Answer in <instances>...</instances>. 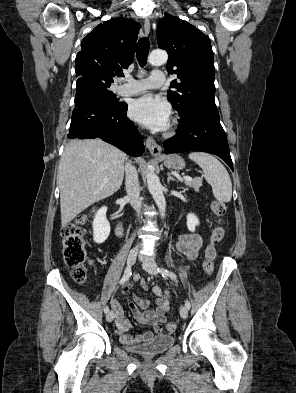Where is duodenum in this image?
<instances>
[{
	"label": "duodenum",
	"instance_id": "obj_1",
	"mask_svg": "<svg viewBox=\"0 0 296 393\" xmlns=\"http://www.w3.org/2000/svg\"><path fill=\"white\" fill-rule=\"evenodd\" d=\"M118 209L117 205L114 207V210L116 211ZM125 225L121 220H117L116 226H115V234L117 237L121 238L125 235Z\"/></svg>",
	"mask_w": 296,
	"mask_h": 393
}]
</instances>
